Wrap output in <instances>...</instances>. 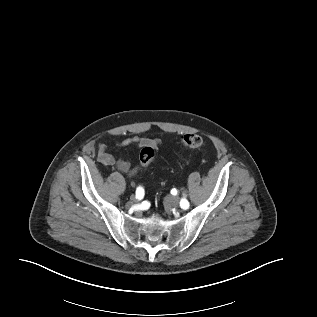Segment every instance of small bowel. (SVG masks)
Here are the masks:
<instances>
[{"instance_id":"small-bowel-1","label":"small bowel","mask_w":317,"mask_h":317,"mask_svg":"<svg viewBox=\"0 0 317 317\" xmlns=\"http://www.w3.org/2000/svg\"><path fill=\"white\" fill-rule=\"evenodd\" d=\"M118 147H128V146H138L142 147L145 145H151L157 147L159 141L154 139H147L141 136H133L125 138L116 143ZM97 159L100 164L108 167H115L120 172L127 174L128 176H133L138 171V166L132 167L130 161L125 159H120L114 157L111 153L108 152L106 145L101 144L98 148Z\"/></svg>"}]
</instances>
